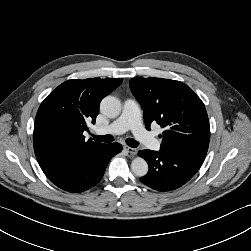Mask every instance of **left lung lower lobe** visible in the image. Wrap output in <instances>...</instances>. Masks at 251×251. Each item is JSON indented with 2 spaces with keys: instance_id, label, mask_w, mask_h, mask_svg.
Masks as SVG:
<instances>
[{
  "instance_id": "obj_1",
  "label": "left lung lower lobe",
  "mask_w": 251,
  "mask_h": 251,
  "mask_svg": "<svg viewBox=\"0 0 251 251\" xmlns=\"http://www.w3.org/2000/svg\"><path fill=\"white\" fill-rule=\"evenodd\" d=\"M138 155L149 166L147 175L140 178L145 185L158 191L175 190L187 183L199 170L204 158L173 150H141Z\"/></svg>"
}]
</instances>
